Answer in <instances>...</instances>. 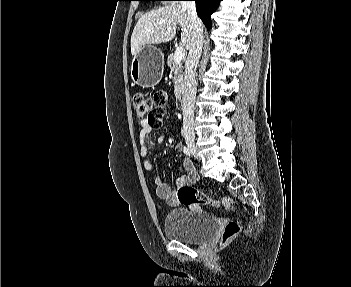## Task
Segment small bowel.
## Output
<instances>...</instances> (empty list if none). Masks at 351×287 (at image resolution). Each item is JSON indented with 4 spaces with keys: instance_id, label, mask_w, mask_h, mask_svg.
Listing matches in <instances>:
<instances>
[{
    "instance_id": "small-bowel-1",
    "label": "small bowel",
    "mask_w": 351,
    "mask_h": 287,
    "mask_svg": "<svg viewBox=\"0 0 351 287\" xmlns=\"http://www.w3.org/2000/svg\"><path fill=\"white\" fill-rule=\"evenodd\" d=\"M139 126L140 156L143 158V166L146 171L153 172L155 170V166L147 158L149 153V145L153 141V136H150V133L153 132V127H150L147 124L146 120L140 121ZM164 140L165 135H160L156 138L157 143H162ZM175 150L177 152H182L183 144L176 143ZM184 168L187 173L178 178L176 182L178 188L184 185L194 184L197 181V174L192 162L189 159H186L184 161ZM153 181L156 187V193L160 199L173 206L178 204L177 193L172 190V188L167 183H165L161 177L155 176Z\"/></svg>"
}]
</instances>
